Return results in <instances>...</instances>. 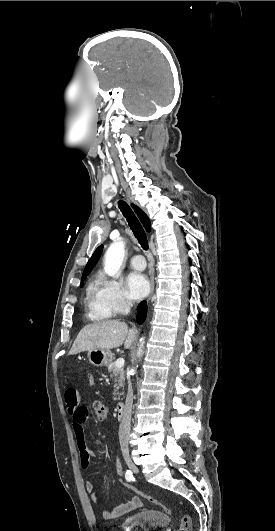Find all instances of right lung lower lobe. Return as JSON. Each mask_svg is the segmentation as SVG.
Here are the masks:
<instances>
[{
  "instance_id": "obj_1",
  "label": "right lung lower lobe",
  "mask_w": 275,
  "mask_h": 531,
  "mask_svg": "<svg viewBox=\"0 0 275 531\" xmlns=\"http://www.w3.org/2000/svg\"><path fill=\"white\" fill-rule=\"evenodd\" d=\"M146 302L145 301H142L139 305H138V318H137V321L139 324L143 323L144 320H145V317H146Z\"/></svg>"
}]
</instances>
